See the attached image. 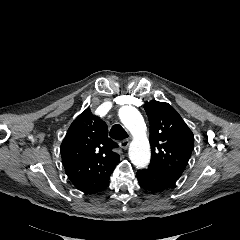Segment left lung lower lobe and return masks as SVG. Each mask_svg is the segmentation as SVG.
Masks as SVG:
<instances>
[{
    "label": "left lung lower lobe",
    "instance_id": "1",
    "mask_svg": "<svg viewBox=\"0 0 240 240\" xmlns=\"http://www.w3.org/2000/svg\"><path fill=\"white\" fill-rule=\"evenodd\" d=\"M136 175L140 186L154 193L166 191L176 183L174 179L152 166L138 170Z\"/></svg>",
    "mask_w": 240,
    "mask_h": 240
}]
</instances>
